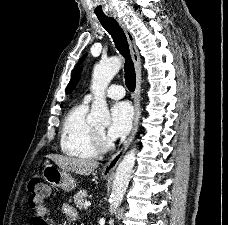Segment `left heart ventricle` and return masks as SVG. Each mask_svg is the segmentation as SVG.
I'll return each mask as SVG.
<instances>
[{"label":"left heart ventricle","mask_w":228,"mask_h":225,"mask_svg":"<svg viewBox=\"0 0 228 225\" xmlns=\"http://www.w3.org/2000/svg\"><path fill=\"white\" fill-rule=\"evenodd\" d=\"M97 128H98V130H101V131L103 130V127H97Z\"/></svg>","instance_id":"1"}]
</instances>
